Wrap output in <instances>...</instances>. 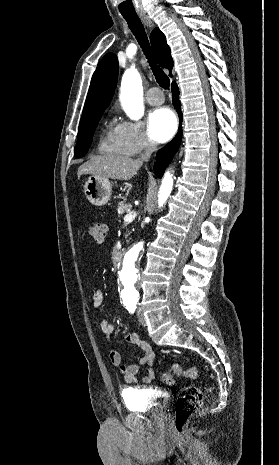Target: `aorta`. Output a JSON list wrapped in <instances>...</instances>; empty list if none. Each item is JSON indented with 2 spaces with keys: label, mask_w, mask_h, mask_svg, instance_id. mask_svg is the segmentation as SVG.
Wrapping results in <instances>:
<instances>
[{
  "label": "aorta",
  "mask_w": 279,
  "mask_h": 465,
  "mask_svg": "<svg viewBox=\"0 0 279 465\" xmlns=\"http://www.w3.org/2000/svg\"><path fill=\"white\" fill-rule=\"evenodd\" d=\"M120 100L126 114L133 120H139L144 113L143 87L139 72L134 67L127 69L121 81ZM173 188V175L167 171L162 180L158 205L162 207L168 199ZM143 242H138L125 253L120 273V295L124 303L134 302L137 299L138 262Z\"/></svg>",
  "instance_id": "762f6f07"
}]
</instances>
